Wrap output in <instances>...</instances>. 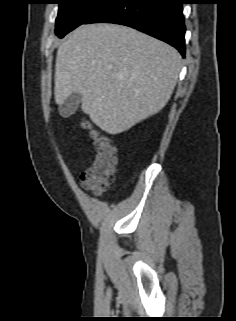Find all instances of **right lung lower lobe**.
Segmentation results:
<instances>
[{
    "label": "right lung lower lobe",
    "instance_id": "98d812e1",
    "mask_svg": "<svg viewBox=\"0 0 236 321\" xmlns=\"http://www.w3.org/2000/svg\"><path fill=\"white\" fill-rule=\"evenodd\" d=\"M182 0H109L83 24L115 23L135 28L185 56Z\"/></svg>",
    "mask_w": 236,
    "mask_h": 321
}]
</instances>
